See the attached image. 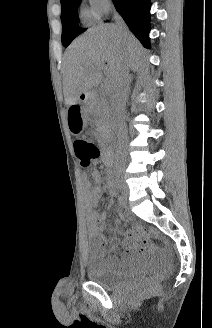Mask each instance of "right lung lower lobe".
<instances>
[{"instance_id":"right-lung-lower-lobe-1","label":"right lung lower lobe","mask_w":212,"mask_h":328,"mask_svg":"<svg viewBox=\"0 0 212 328\" xmlns=\"http://www.w3.org/2000/svg\"><path fill=\"white\" fill-rule=\"evenodd\" d=\"M113 3L131 32L150 48V0H113Z\"/></svg>"}]
</instances>
